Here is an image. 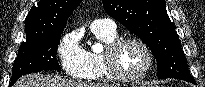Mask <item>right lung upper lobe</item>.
<instances>
[{
    "label": "right lung upper lobe",
    "instance_id": "obj_1",
    "mask_svg": "<svg viewBox=\"0 0 205 87\" xmlns=\"http://www.w3.org/2000/svg\"><path fill=\"white\" fill-rule=\"evenodd\" d=\"M82 0H40L25 19L26 36L63 32L67 20Z\"/></svg>",
    "mask_w": 205,
    "mask_h": 87
}]
</instances>
